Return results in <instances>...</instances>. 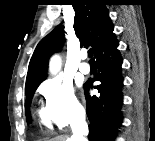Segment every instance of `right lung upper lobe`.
I'll list each match as a JSON object with an SVG mask.
<instances>
[{
  "label": "right lung upper lobe",
  "instance_id": "right-lung-upper-lobe-1",
  "mask_svg": "<svg viewBox=\"0 0 155 141\" xmlns=\"http://www.w3.org/2000/svg\"><path fill=\"white\" fill-rule=\"evenodd\" d=\"M74 30L80 45H90L93 51L113 32V24L103 0H76ZM64 41V26H57L37 45L29 63L26 87L42 82L49 57L60 50Z\"/></svg>",
  "mask_w": 155,
  "mask_h": 141
}]
</instances>
